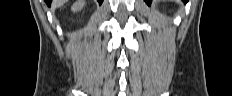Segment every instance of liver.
<instances>
[{"label":"liver","instance_id":"obj_1","mask_svg":"<svg viewBox=\"0 0 232 96\" xmlns=\"http://www.w3.org/2000/svg\"><path fill=\"white\" fill-rule=\"evenodd\" d=\"M66 2H67V0H54V1H52V7L53 8L60 7L63 4H65Z\"/></svg>","mask_w":232,"mask_h":96}]
</instances>
